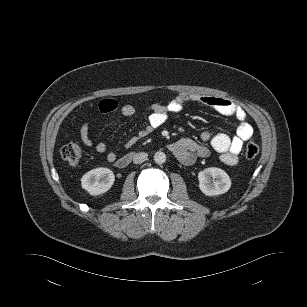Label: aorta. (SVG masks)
Returning a JSON list of instances; mask_svg holds the SVG:
<instances>
[{
	"instance_id": "1",
	"label": "aorta",
	"mask_w": 307,
	"mask_h": 307,
	"mask_svg": "<svg viewBox=\"0 0 307 307\" xmlns=\"http://www.w3.org/2000/svg\"><path fill=\"white\" fill-rule=\"evenodd\" d=\"M154 161L157 164H163L166 161V154L162 151H157L154 154Z\"/></svg>"
}]
</instances>
